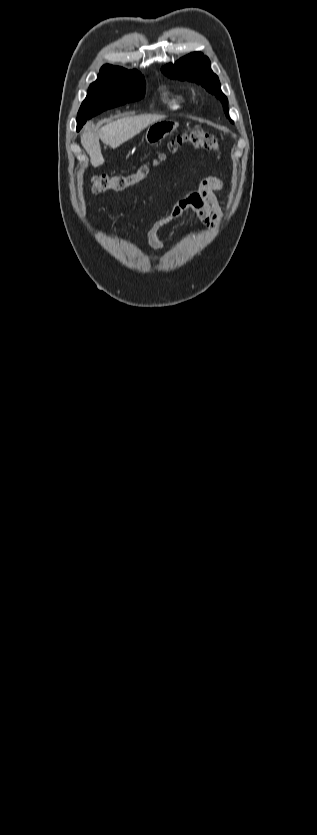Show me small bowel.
Masks as SVG:
<instances>
[{
    "mask_svg": "<svg viewBox=\"0 0 317 835\" xmlns=\"http://www.w3.org/2000/svg\"><path fill=\"white\" fill-rule=\"evenodd\" d=\"M223 187L219 177H204L196 190L187 193L166 215L152 224L147 233L149 247L154 251H163L165 246L160 236L161 229L179 219L186 211H192L206 227L216 228L222 220V213L215 192Z\"/></svg>",
    "mask_w": 317,
    "mask_h": 835,
    "instance_id": "small-bowel-1",
    "label": "small bowel"
}]
</instances>
